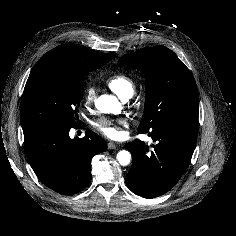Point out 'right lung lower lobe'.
I'll return each mask as SVG.
<instances>
[{"label":"right lung lower lobe","instance_id":"right-lung-lower-lobe-1","mask_svg":"<svg viewBox=\"0 0 236 236\" xmlns=\"http://www.w3.org/2000/svg\"><path fill=\"white\" fill-rule=\"evenodd\" d=\"M71 127L53 124L23 130L27 159L40 181L63 195L83 190L91 181V160L107 144L93 131L83 138L69 137Z\"/></svg>","mask_w":236,"mask_h":236}]
</instances>
